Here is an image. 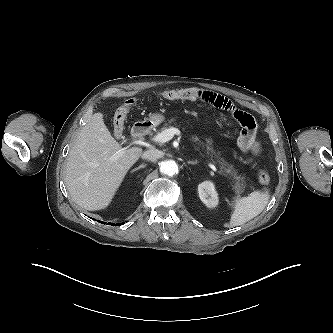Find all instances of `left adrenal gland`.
<instances>
[{
  "label": "left adrenal gland",
  "mask_w": 333,
  "mask_h": 333,
  "mask_svg": "<svg viewBox=\"0 0 333 333\" xmlns=\"http://www.w3.org/2000/svg\"><path fill=\"white\" fill-rule=\"evenodd\" d=\"M187 163H188V164H191V165H196V164H198L197 161H188Z\"/></svg>",
  "instance_id": "1"
}]
</instances>
